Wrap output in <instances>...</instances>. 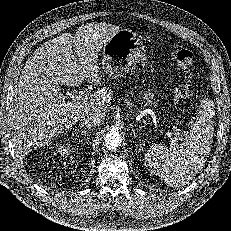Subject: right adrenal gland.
I'll use <instances>...</instances> for the list:
<instances>
[{"mask_svg":"<svg viewBox=\"0 0 231 231\" xmlns=\"http://www.w3.org/2000/svg\"><path fill=\"white\" fill-rule=\"evenodd\" d=\"M81 132V134L82 135H84V136H86V135H88L90 132L89 131H87V130H80V129H76L75 130V133H80Z\"/></svg>","mask_w":231,"mask_h":231,"instance_id":"2a0ac1e0","label":"right adrenal gland"}]
</instances>
